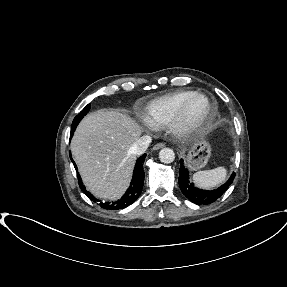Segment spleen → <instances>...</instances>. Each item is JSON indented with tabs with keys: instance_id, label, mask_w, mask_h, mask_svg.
I'll list each match as a JSON object with an SVG mask.
<instances>
[{
	"instance_id": "3e777b00",
	"label": "spleen",
	"mask_w": 287,
	"mask_h": 287,
	"mask_svg": "<svg viewBox=\"0 0 287 287\" xmlns=\"http://www.w3.org/2000/svg\"><path fill=\"white\" fill-rule=\"evenodd\" d=\"M227 170L224 167H217L211 170L198 171L193 175L196 186L203 189L213 188L226 179Z\"/></svg>"
}]
</instances>
